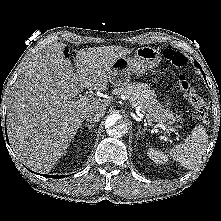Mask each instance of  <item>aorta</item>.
Instances as JSON below:
<instances>
[{
	"label": "aorta",
	"instance_id": "1",
	"mask_svg": "<svg viewBox=\"0 0 221 221\" xmlns=\"http://www.w3.org/2000/svg\"><path fill=\"white\" fill-rule=\"evenodd\" d=\"M107 133L112 137H122L128 132V124L120 116L114 114L105 121Z\"/></svg>",
	"mask_w": 221,
	"mask_h": 221
}]
</instances>
